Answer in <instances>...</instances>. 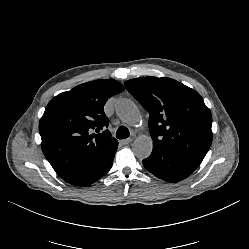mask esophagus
Segmentation results:
<instances>
[{"instance_id": "34e87169", "label": "esophagus", "mask_w": 249, "mask_h": 249, "mask_svg": "<svg viewBox=\"0 0 249 249\" xmlns=\"http://www.w3.org/2000/svg\"><path fill=\"white\" fill-rule=\"evenodd\" d=\"M132 142V138H128V139H125V140H121V143L123 144V145H127V144H129V143H131Z\"/></svg>"}]
</instances>
